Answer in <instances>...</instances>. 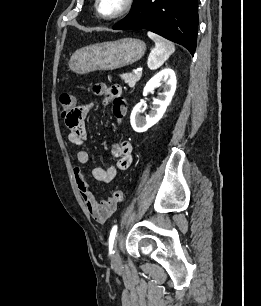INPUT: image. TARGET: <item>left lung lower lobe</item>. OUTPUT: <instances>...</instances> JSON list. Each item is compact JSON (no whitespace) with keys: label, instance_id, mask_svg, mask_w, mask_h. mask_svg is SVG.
Returning <instances> with one entry per match:
<instances>
[{"label":"left lung lower lobe","instance_id":"1","mask_svg":"<svg viewBox=\"0 0 261 306\" xmlns=\"http://www.w3.org/2000/svg\"><path fill=\"white\" fill-rule=\"evenodd\" d=\"M198 0H138L112 29H147L186 47L197 43Z\"/></svg>","mask_w":261,"mask_h":306}]
</instances>
